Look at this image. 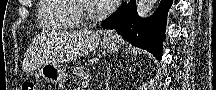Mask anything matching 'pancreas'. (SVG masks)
I'll return each mask as SVG.
<instances>
[{
    "mask_svg": "<svg viewBox=\"0 0 216 90\" xmlns=\"http://www.w3.org/2000/svg\"><path fill=\"white\" fill-rule=\"evenodd\" d=\"M86 76H88V72L86 68H82L81 66V68H75V70H73L71 78L75 84H78V82L86 78Z\"/></svg>",
    "mask_w": 216,
    "mask_h": 90,
    "instance_id": "pancreas-1",
    "label": "pancreas"
}]
</instances>
